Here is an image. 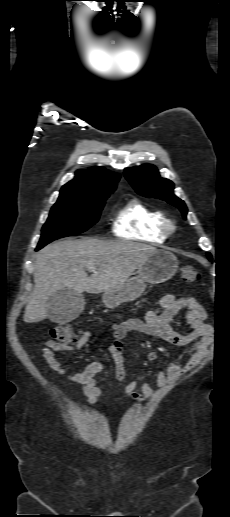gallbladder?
Segmentation results:
<instances>
[{"label":"gallbladder","instance_id":"obj_1","mask_svg":"<svg viewBox=\"0 0 230 517\" xmlns=\"http://www.w3.org/2000/svg\"><path fill=\"white\" fill-rule=\"evenodd\" d=\"M85 300L74 290L63 289L52 294L46 308L52 322L65 323L77 318L83 311Z\"/></svg>","mask_w":230,"mask_h":517}]
</instances>
